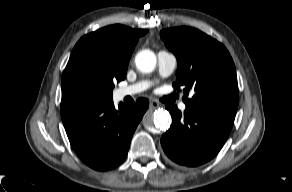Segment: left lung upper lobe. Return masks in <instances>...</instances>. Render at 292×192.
<instances>
[{
    "label": "left lung upper lobe",
    "instance_id": "5c2ea615",
    "mask_svg": "<svg viewBox=\"0 0 292 192\" xmlns=\"http://www.w3.org/2000/svg\"><path fill=\"white\" fill-rule=\"evenodd\" d=\"M160 37L178 61L175 90L186 108L236 114L239 94L234 62L223 44L190 27L164 29ZM194 95L188 98L189 91Z\"/></svg>",
    "mask_w": 292,
    "mask_h": 192
}]
</instances>
